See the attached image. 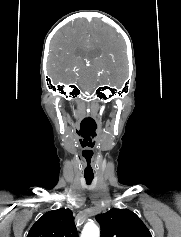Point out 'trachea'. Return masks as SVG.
Here are the masks:
<instances>
[{"label": "trachea", "instance_id": "3493384b", "mask_svg": "<svg viewBox=\"0 0 181 237\" xmlns=\"http://www.w3.org/2000/svg\"><path fill=\"white\" fill-rule=\"evenodd\" d=\"M87 184H91L93 177H85Z\"/></svg>", "mask_w": 181, "mask_h": 237}]
</instances>
